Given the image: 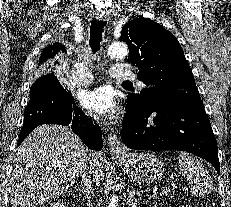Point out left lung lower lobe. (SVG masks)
Returning <instances> with one entry per match:
<instances>
[{
    "label": "left lung lower lobe",
    "mask_w": 231,
    "mask_h": 207,
    "mask_svg": "<svg viewBox=\"0 0 231 207\" xmlns=\"http://www.w3.org/2000/svg\"><path fill=\"white\" fill-rule=\"evenodd\" d=\"M126 112L120 134L128 148L187 151L220 173L216 139L201 100L169 108L131 110L126 106Z\"/></svg>",
    "instance_id": "left-lung-lower-lobe-1"
}]
</instances>
